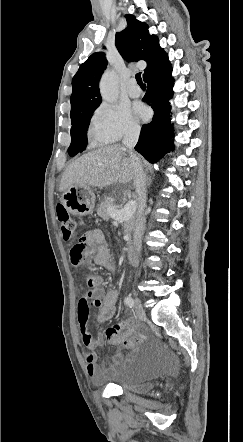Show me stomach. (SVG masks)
I'll return each mask as SVG.
<instances>
[{"label": "stomach", "mask_w": 243, "mask_h": 442, "mask_svg": "<svg viewBox=\"0 0 243 442\" xmlns=\"http://www.w3.org/2000/svg\"><path fill=\"white\" fill-rule=\"evenodd\" d=\"M61 201L71 214L86 216L93 212L95 194L89 186H72L63 192Z\"/></svg>", "instance_id": "stomach-1"}]
</instances>
